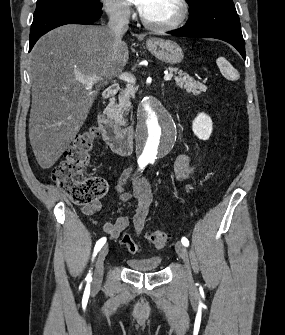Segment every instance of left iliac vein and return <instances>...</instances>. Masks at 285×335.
<instances>
[{"label": "left iliac vein", "mask_w": 285, "mask_h": 335, "mask_svg": "<svg viewBox=\"0 0 285 335\" xmlns=\"http://www.w3.org/2000/svg\"><path fill=\"white\" fill-rule=\"evenodd\" d=\"M175 249H176V252L178 253V255L183 259V261L186 265V270H187L186 276H187L188 282L193 283V277H192V273H191V270H190L187 248L181 242H177L176 245H175Z\"/></svg>", "instance_id": "obj_1"}]
</instances>
